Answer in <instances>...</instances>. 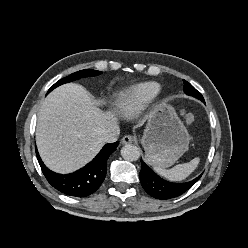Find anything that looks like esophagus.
I'll use <instances>...</instances> for the list:
<instances>
[{"label": "esophagus", "instance_id": "34e87169", "mask_svg": "<svg viewBox=\"0 0 248 248\" xmlns=\"http://www.w3.org/2000/svg\"><path fill=\"white\" fill-rule=\"evenodd\" d=\"M133 141H134V137L131 136V135H125V136L122 138V140H121V142H122L123 144H130V143H132Z\"/></svg>", "mask_w": 248, "mask_h": 248}]
</instances>
